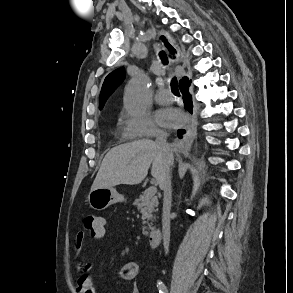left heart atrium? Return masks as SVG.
I'll use <instances>...</instances> for the list:
<instances>
[{"mask_svg": "<svg viewBox=\"0 0 293 293\" xmlns=\"http://www.w3.org/2000/svg\"><path fill=\"white\" fill-rule=\"evenodd\" d=\"M156 119L161 126L173 128L182 124L183 115L175 108H162L157 111Z\"/></svg>", "mask_w": 293, "mask_h": 293, "instance_id": "obj_1", "label": "left heart atrium"}]
</instances>
